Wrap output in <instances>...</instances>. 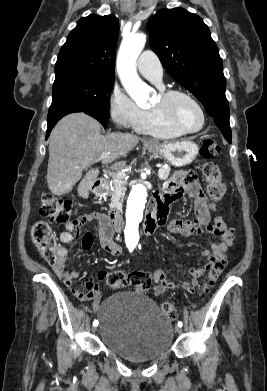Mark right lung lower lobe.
<instances>
[{
    "instance_id": "98d812e1",
    "label": "right lung lower lobe",
    "mask_w": 267,
    "mask_h": 391,
    "mask_svg": "<svg viewBox=\"0 0 267 391\" xmlns=\"http://www.w3.org/2000/svg\"><path fill=\"white\" fill-rule=\"evenodd\" d=\"M73 112H84V113L94 117L95 119H97L104 126V128H106V126H107V119H109V117H107V116H105L95 110H88V109H83V108H79V107H68V108L62 109V110L48 116V127H47V131H46V139L49 137V134H50L52 128L55 126V124L62 117H64L65 115H67L69 113H73Z\"/></svg>"
}]
</instances>
